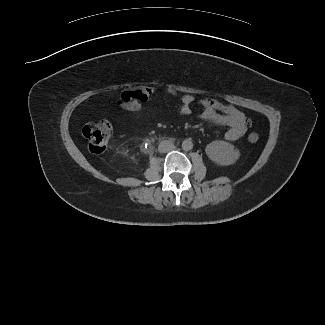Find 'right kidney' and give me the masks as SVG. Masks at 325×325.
<instances>
[{
	"label": "right kidney",
	"instance_id": "1",
	"mask_svg": "<svg viewBox=\"0 0 325 325\" xmlns=\"http://www.w3.org/2000/svg\"><path fill=\"white\" fill-rule=\"evenodd\" d=\"M120 153H122V154H126V152L123 150V151H121Z\"/></svg>",
	"mask_w": 325,
	"mask_h": 325
}]
</instances>
